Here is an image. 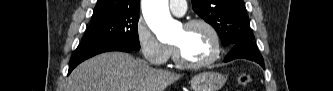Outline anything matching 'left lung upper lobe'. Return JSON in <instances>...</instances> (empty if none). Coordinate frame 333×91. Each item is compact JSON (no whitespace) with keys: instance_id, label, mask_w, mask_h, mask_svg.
<instances>
[{"instance_id":"obj_1","label":"left lung upper lobe","mask_w":333,"mask_h":91,"mask_svg":"<svg viewBox=\"0 0 333 91\" xmlns=\"http://www.w3.org/2000/svg\"><path fill=\"white\" fill-rule=\"evenodd\" d=\"M193 10L217 31L222 44L253 41L243 0H191Z\"/></svg>"}]
</instances>
